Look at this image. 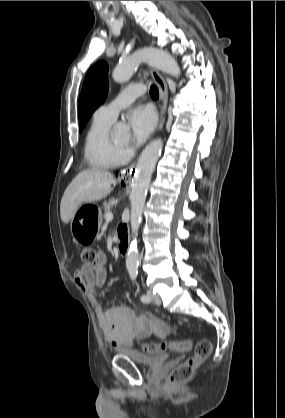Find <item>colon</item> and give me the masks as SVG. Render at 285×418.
<instances>
[{"label":"colon","instance_id":"1","mask_svg":"<svg viewBox=\"0 0 285 418\" xmlns=\"http://www.w3.org/2000/svg\"><path fill=\"white\" fill-rule=\"evenodd\" d=\"M97 252L94 248L86 247L81 251V260L85 264H91L96 259ZM136 345L148 352L158 353L164 351L184 352L191 348L189 340L171 341V342H136ZM212 350V342L209 339H201L195 346L191 357L178 365L171 372L168 385L176 386L188 381L196 369L207 359Z\"/></svg>","mask_w":285,"mask_h":418}]
</instances>
